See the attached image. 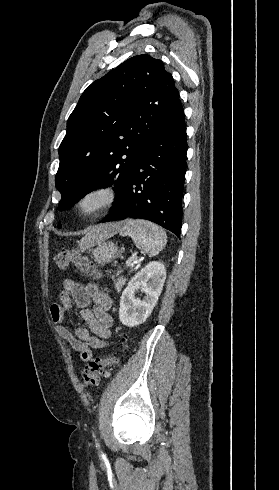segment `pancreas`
<instances>
[{
	"mask_svg": "<svg viewBox=\"0 0 279 490\" xmlns=\"http://www.w3.org/2000/svg\"><path fill=\"white\" fill-rule=\"evenodd\" d=\"M114 286H116V288H122V286H124L123 278H120V280H118V282H115Z\"/></svg>",
	"mask_w": 279,
	"mask_h": 490,
	"instance_id": "pancreas-1",
	"label": "pancreas"
}]
</instances>
